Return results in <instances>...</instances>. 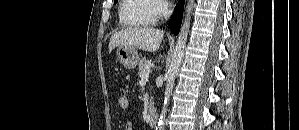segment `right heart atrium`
I'll list each match as a JSON object with an SVG mask.
<instances>
[{"instance_id":"d8ad5b80","label":"right heart atrium","mask_w":299,"mask_h":130,"mask_svg":"<svg viewBox=\"0 0 299 130\" xmlns=\"http://www.w3.org/2000/svg\"><path fill=\"white\" fill-rule=\"evenodd\" d=\"M154 3L156 5L155 13L157 18H162L169 13L170 5L167 1L156 0Z\"/></svg>"}]
</instances>
